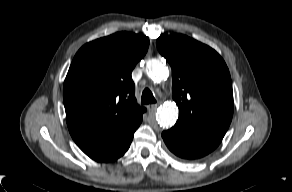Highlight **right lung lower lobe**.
I'll use <instances>...</instances> for the list:
<instances>
[{
  "mask_svg": "<svg viewBox=\"0 0 292 192\" xmlns=\"http://www.w3.org/2000/svg\"><path fill=\"white\" fill-rule=\"evenodd\" d=\"M142 118L122 130L103 135H78L73 140L91 159L111 162L121 157L130 147L134 132Z\"/></svg>",
  "mask_w": 292,
  "mask_h": 192,
  "instance_id": "1",
  "label": "right lung lower lobe"
}]
</instances>
